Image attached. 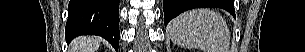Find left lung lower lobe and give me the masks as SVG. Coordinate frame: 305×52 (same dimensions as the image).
<instances>
[{
    "instance_id": "obj_1",
    "label": "left lung lower lobe",
    "mask_w": 305,
    "mask_h": 52,
    "mask_svg": "<svg viewBox=\"0 0 305 52\" xmlns=\"http://www.w3.org/2000/svg\"><path fill=\"white\" fill-rule=\"evenodd\" d=\"M231 6L223 8L235 17V9L233 0H230ZM211 6L209 2L204 0H164V23L165 26L170 20L179 15L180 13L196 8V7H208Z\"/></svg>"
}]
</instances>
